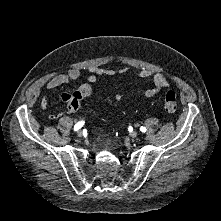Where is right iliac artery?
<instances>
[{
    "instance_id": "right-iliac-artery-1",
    "label": "right iliac artery",
    "mask_w": 221,
    "mask_h": 221,
    "mask_svg": "<svg viewBox=\"0 0 221 221\" xmlns=\"http://www.w3.org/2000/svg\"><path fill=\"white\" fill-rule=\"evenodd\" d=\"M83 125H84V121L78 122V123L74 126V130L77 131V130L80 129Z\"/></svg>"
}]
</instances>
